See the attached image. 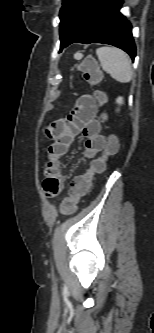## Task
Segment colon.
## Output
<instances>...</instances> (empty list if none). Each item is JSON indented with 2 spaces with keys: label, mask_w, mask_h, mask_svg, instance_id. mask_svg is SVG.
<instances>
[{
  "label": "colon",
  "mask_w": 154,
  "mask_h": 333,
  "mask_svg": "<svg viewBox=\"0 0 154 333\" xmlns=\"http://www.w3.org/2000/svg\"><path fill=\"white\" fill-rule=\"evenodd\" d=\"M79 70L82 73L83 79L91 86H96L102 79V73L94 58L86 57L80 64ZM93 97L100 104L103 105L106 101V95L101 90H94ZM101 122L106 121V115H100ZM118 150V140L115 135L110 134L106 139L104 153L101 157L93 159L89 168L85 173L76 176L69 189V195L62 199L60 203V212L64 215H71L76 211L79 200L89 191L95 175L102 173L108 159L115 155Z\"/></svg>",
  "instance_id": "1"
}]
</instances>
